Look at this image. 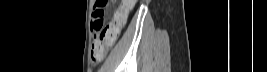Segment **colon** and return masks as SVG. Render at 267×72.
I'll list each match as a JSON object with an SVG mask.
<instances>
[{"label": "colon", "instance_id": "obj_1", "mask_svg": "<svg viewBox=\"0 0 267 72\" xmlns=\"http://www.w3.org/2000/svg\"><path fill=\"white\" fill-rule=\"evenodd\" d=\"M110 2L108 0H98L93 12L90 28L93 31L94 40L91 46L90 57L94 65L104 59L107 50L113 46L119 34L120 27L116 23L111 22L108 26L104 25L105 7ZM114 14L121 15L122 9L118 8Z\"/></svg>", "mask_w": 267, "mask_h": 72}]
</instances>
